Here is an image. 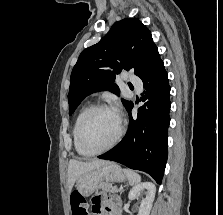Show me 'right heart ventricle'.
Masks as SVG:
<instances>
[{
    "instance_id": "1",
    "label": "right heart ventricle",
    "mask_w": 223,
    "mask_h": 215,
    "mask_svg": "<svg viewBox=\"0 0 223 215\" xmlns=\"http://www.w3.org/2000/svg\"><path fill=\"white\" fill-rule=\"evenodd\" d=\"M89 108H90V106H84L79 111V113L77 114V116L75 118L73 127H72V139H73L74 148L79 155L86 156V157H88L90 155L85 153V151L80 147V145L78 143V127H79V124H80L83 116L85 115V113L88 111Z\"/></svg>"
}]
</instances>
